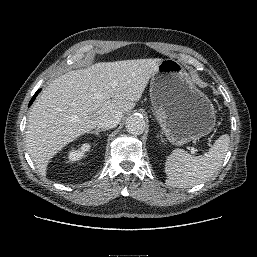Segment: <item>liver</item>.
Listing matches in <instances>:
<instances>
[{
	"mask_svg": "<svg viewBox=\"0 0 257 257\" xmlns=\"http://www.w3.org/2000/svg\"><path fill=\"white\" fill-rule=\"evenodd\" d=\"M161 61L100 62L50 83L33 104L26 131L27 149L39 172L45 176L50 159L94 129L101 115L133 109Z\"/></svg>",
	"mask_w": 257,
	"mask_h": 257,
	"instance_id": "obj_1",
	"label": "liver"
}]
</instances>
